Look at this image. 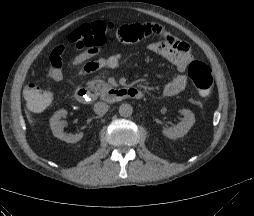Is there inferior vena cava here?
Instances as JSON below:
<instances>
[{
	"mask_svg": "<svg viewBox=\"0 0 254 216\" xmlns=\"http://www.w3.org/2000/svg\"><path fill=\"white\" fill-rule=\"evenodd\" d=\"M109 109V106L104 102H97L94 105V112L99 115H104Z\"/></svg>",
	"mask_w": 254,
	"mask_h": 216,
	"instance_id": "602c4592",
	"label": "inferior vena cava"
}]
</instances>
